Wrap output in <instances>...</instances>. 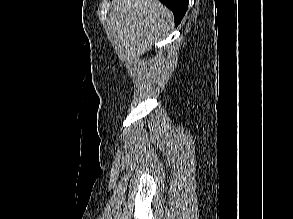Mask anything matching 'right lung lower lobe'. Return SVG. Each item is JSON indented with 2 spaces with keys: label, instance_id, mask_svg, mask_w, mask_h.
I'll return each mask as SVG.
<instances>
[{
  "label": "right lung lower lobe",
  "instance_id": "98d812e1",
  "mask_svg": "<svg viewBox=\"0 0 293 219\" xmlns=\"http://www.w3.org/2000/svg\"><path fill=\"white\" fill-rule=\"evenodd\" d=\"M164 3L174 14L175 25L177 26L182 20L188 8L189 0H160Z\"/></svg>",
  "mask_w": 293,
  "mask_h": 219
}]
</instances>
